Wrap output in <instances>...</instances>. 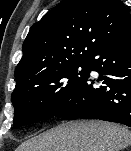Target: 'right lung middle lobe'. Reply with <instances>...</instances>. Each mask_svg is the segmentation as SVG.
Returning a JSON list of instances; mask_svg holds the SVG:
<instances>
[{"mask_svg":"<svg viewBox=\"0 0 131 151\" xmlns=\"http://www.w3.org/2000/svg\"><path fill=\"white\" fill-rule=\"evenodd\" d=\"M88 76L89 63L83 62L47 72L15 88L11 95L14 128L54 117Z\"/></svg>","mask_w":131,"mask_h":151,"instance_id":"obj_1","label":"right lung middle lobe"}]
</instances>
